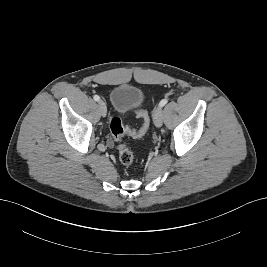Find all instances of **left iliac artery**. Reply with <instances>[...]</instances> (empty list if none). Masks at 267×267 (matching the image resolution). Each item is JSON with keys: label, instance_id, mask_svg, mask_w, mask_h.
<instances>
[{"label": "left iliac artery", "instance_id": "1", "mask_svg": "<svg viewBox=\"0 0 267 267\" xmlns=\"http://www.w3.org/2000/svg\"><path fill=\"white\" fill-rule=\"evenodd\" d=\"M167 102H168L167 99H163V100H161V102L159 103V106H160V107H163V106H165V105L167 104Z\"/></svg>", "mask_w": 267, "mask_h": 267}]
</instances>
